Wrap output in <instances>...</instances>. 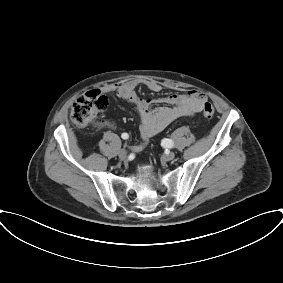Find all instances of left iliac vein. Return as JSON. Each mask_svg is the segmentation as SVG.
<instances>
[{
    "label": "left iliac vein",
    "mask_w": 283,
    "mask_h": 283,
    "mask_svg": "<svg viewBox=\"0 0 283 283\" xmlns=\"http://www.w3.org/2000/svg\"><path fill=\"white\" fill-rule=\"evenodd\" d=\"M175 158V153L174 152H169L163 155V160L164 161H171Z\"/></svg>",
    "instance_id": "1"
}]
</instances>
